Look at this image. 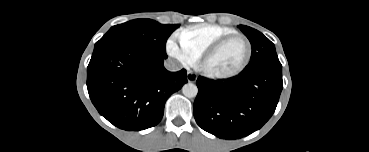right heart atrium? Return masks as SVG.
Segmentation results:
<instances>
[{
    "label": "right heart atrium",
    "instance_id": "1",
    "mask_svg": "<svg viewBox=\"0 0 369 152\" xmlns=\"http://www.w3.org/2000/svg\"><path fill=\"white\" fill-rule=\"evenodd\" d=\"M166 50L169 55L177 59L184 66L193 65L196 61L190 51L175 36H171L167 40Z\"/></svg>",
    "mask_w": 369,
    "mask_h": 152
}]
</instances>
